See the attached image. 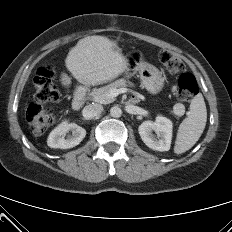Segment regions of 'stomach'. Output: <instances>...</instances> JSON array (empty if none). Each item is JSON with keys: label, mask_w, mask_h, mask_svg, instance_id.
<instances>
[{"label": "stomach", "mask_w": 232, "mask_h": 232, "mask_svg": "<svg viewBox=\"0 0 232 232\" xmlns=\"http://www.w3.org/2000/svg\"><path fill=\"white\" fill-rule=\"evenodd\" d=\"M127 67L124 71L127 76L139 73L144 87L153 94L158 93L164 84L161 72L153 65L143 61L142 53L139 51L132 52L126 58Z\"/></svg>", "instance_id": "stomach-1"}]
</instances>
